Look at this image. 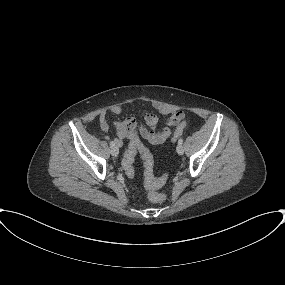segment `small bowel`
I'll list each match as a JSON object with an SVG mask.
<instances>
[{"label":"small bowel","mask_w":285,"mask_h":285,"mask_svg":"<svg viewBox=\"0 0 285 285\" xmlns=\"http://www.w3.org/2000/svg\"><path fill=\"white\" fill-rule=\"evenodd\" d=\"M111 112L115 115H119L123 112V106L116 104L112 106ZM184 113L177 111L171 114L166 125L161 130H156L158 124V117L152 112H145L143 114L144 124L137 128V121L133 117H129L119 122H110L107 118L106 113L99 115V126L100 129L106 131L113 126L116 131L114 143L118 146H122L124 141L128 140L139 143L140 139H144L151 144L160 145L163 144L171 134L183 123ZM148 189H152L151 185L146 184Z\"/></svg>","instance_id":"small-bowel-1"}]
</instances>
